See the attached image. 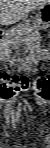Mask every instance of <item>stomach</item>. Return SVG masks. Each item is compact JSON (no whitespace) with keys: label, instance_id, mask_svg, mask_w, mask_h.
<instances>
[{"label":"stomach","instance_id":"1","mask_svg":"<svg viewBox=\"0 0 50 148\" xmlns=\"http://www.w3.org/2000/svg\"><path fill=\"white\" fill-rule=\"evenodd\" d=\"M34 28L41 30L50 27V5L46 4L38 9L33 19Z\"/></svg>","mask_w":50,"mask_h":148}]
</instances>
